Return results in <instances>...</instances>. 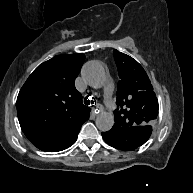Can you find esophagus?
Returning <instances> with one entry per match:
<instances>
[{
  "label": "esophagus",
  "instance_id": "obj_1",
  "mask_svg": "<svg viewBox=\"0 0 193 193\" xmlns=\"http://www.w3.org/2000/svg\"><path fill=\"white\" fill-rule=\"evenodd\" d=\"M104 110L103 106L101 104H98L97 107L94 109L95 114H99Z\"/></svg>",
  "mask_w": 193,
  "mask_h": 193
}]
</instances>
